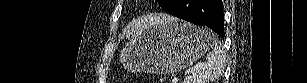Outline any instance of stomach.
Wrapping results in <instances>:
<instances>
[{
  "label": "stomach",
  "mask_w": 307,
  "mask_h": 83,
  "mask_svg": "<svg viewBox=\"0 0 307 83\" xmlns=\"http://www.w3.org/2000/svg\"><path fill=\"white\" fill-rule=\"evenodd\" d=\"M210 47L205 28L172 18L137 35L121 51L120 61L131 71L173 73L193 64Z\"/></svg>",
  "instance_id": "obj_1"
}]
</instances>
